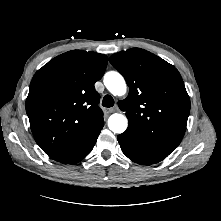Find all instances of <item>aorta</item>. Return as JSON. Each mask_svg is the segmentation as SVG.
I'll list each match as a JSON object with an SVG mask.
<instances>
[{
  "instance_id": "762f6f07",
  "label": "aorta",
  "mask_w": 221,
  "mask_h": 221,
  "mask_svg": "<svg viewBox=\"0 0 221 221\" xmlns=\"http://www.w3.org/2000/svg\"><path fill=\"white\" fill-rule=\"evenodd\" d=\"M104 85L114 96H123L126 94V82L123 76L116 71H110L105 74ZM127 126L128 120L122 114L114 113L108 119V127L114 133H123L127 129Z\"/></svg>"
}]
</instances>
